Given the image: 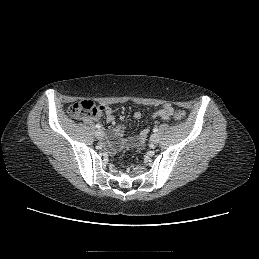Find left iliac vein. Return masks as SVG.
Masks as SVG:
<instances>
[{"label": "left iliac vein", "mask_w": 259, "mask_h": 259, "mask_svg": "<svg viewBox=\"0 0 259 259\" xmlns=\"http://www.w3.org/2000/svg\"><path fill=\"white\" fill-rule=\"evenodd\" d=\"M151 144H157L159 142V136L157 134H152L150 137Z\"/></svg>", "instance_id": "left-iliac-vein-1"}]
</instances>
